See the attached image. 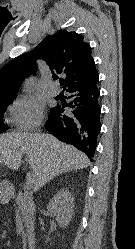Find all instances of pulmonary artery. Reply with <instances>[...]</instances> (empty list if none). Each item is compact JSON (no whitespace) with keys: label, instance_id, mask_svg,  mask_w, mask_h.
I'll return each mask as SVG.
<instances>
[{"label":"pulmonary artery","instance_id":"1","mask_svg":"<svg viewBox=\"0 0 135 249\" xmlns=\"http://www.w3.org/2000/svg\"><path fill=\"white\" fill-rule=\"evenodd\" d=\"M60 91H61V89H60V87L57 84L53 85L50 88V93H51L52 96L58 95L60 93Z\"/></svg>","mask_w":135,"mask_h":249}]
</instances>
